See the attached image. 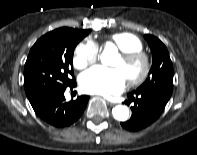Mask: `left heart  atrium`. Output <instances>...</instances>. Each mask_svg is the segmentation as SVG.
<instances>
[{"label": "left heart atrium", "mask_w": 197, "mask_h": 155, "mask_svg": "<svg viewBox=\"0 0 197 155\" xmlns=\"http://www.w3.org/2000/svg\"><path fill=\"white\" fill-rule=\"evenodd\" d=\"M79 85L85 93L110 96L123 91L126 78L118 68L95 66L81 74Z\"/></svg>", "instance_id": "left-heart-atrium-1"}]
</instances>
